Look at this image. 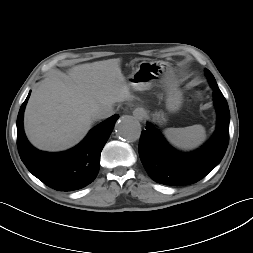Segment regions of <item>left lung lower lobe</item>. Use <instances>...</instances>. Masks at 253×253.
Instances as JSON below:
<instances>
[{
  "mask_svg": "<svg viewBox=\"0 0 253 253\" xmlns=\"http://www.w3.org/2000/svg\"><path fill=\"white\" fill-rule=\"evenodd\" d=\"M214 90L217 128L213 137L191 153L174 150L151 124L141 134L139 156L149 176L164 185H190L204 178L222 160L229 142L230 112L219 88Z\"/></svg>",
  "mask_w": 253,
  "mask_h": 253,
  "instance_id": "0a47b994",
  "label": "left lung lower lobe"
}]
</instances>
